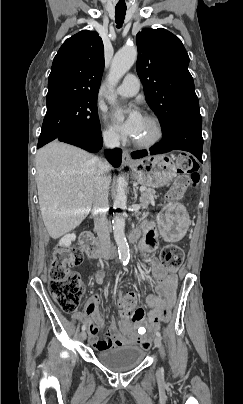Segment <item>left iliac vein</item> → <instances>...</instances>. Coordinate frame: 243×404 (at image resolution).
<instances>
[{"label":"left iliac vein","instance_id":"obj_1","mask_svg":"<svg viewBox=\"0 0 243 404\" xmlns=\"http://www.w3.org/2000/svg\"><path fill=\"white\" fill-rule=\"evenodd\" d=\"M154 344H155V346H156L157 348H160L161 345H162L161 338L158 337V336L155 337V339H154Z\"/></svg>","mask_w":243,"mask_h":404}]
</instances>
